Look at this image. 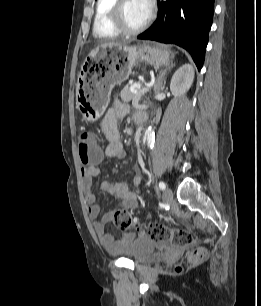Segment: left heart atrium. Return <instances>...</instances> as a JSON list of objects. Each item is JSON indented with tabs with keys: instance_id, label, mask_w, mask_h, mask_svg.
<instances>
[{
	"instance_id": "39dd6f15",
	"label": "left heart atrium",
	"mask_w": 261,
	"mask_h": 306,
	"mask_svg": "<svg viewBox=\"0 0 261 306\" xmlns=\"http://www.w3.org/2000/svg\"><path fill=\"white\" fill-rule=\"evenodd\" d=\"M138 1L141 3L147 15L150 14L154 5L153 0H138Z\"/></svg>"
}]
</instances>
